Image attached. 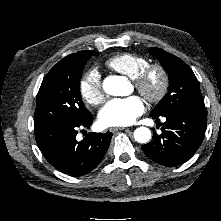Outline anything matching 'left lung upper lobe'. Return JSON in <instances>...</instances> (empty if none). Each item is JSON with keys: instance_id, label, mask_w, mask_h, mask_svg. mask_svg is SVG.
<instances>
[{"instance_id": "5c2ea615", "label": "left lung upper lobe", "mask_w": 221, "mask_h": 221, "mask_svg": "<svg viewBox=\"0 0 221 221\" xmlns=\"http://www.w3.org/2000/svg\"><path fill=\"white\" fill-rule=\"evenodd\" d=\"M150 53L160 61L169 75L168 94L150 115L159 117L184 109L205 110L199 83L191 68L180 58L160 48L152 47Z\"/></svg>"}]
</instances>
